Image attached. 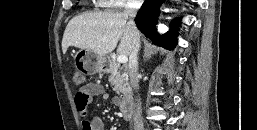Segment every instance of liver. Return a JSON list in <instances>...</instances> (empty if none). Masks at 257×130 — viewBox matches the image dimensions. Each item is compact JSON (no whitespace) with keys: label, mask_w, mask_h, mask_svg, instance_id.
I'll use <instances>...</instances> for the list:
<instances>
[{"label":"liver","mask_w":257,"mask_h":130,"mask_svg":"<svg viewBox=\"0 0 257 130\" xmlns=\"http://www.w3.org/2000/svg\"><path fill=\"white\" fill-rule=\"evenodd\" d=\"M119 40L117 53L128 57L132 36L122 13L88 12L69 21L63 35L62 51L65 54L70 46H74L105 56L116 48Z\"/></svg>","instance_id":"liver-1"}]
</instances>
